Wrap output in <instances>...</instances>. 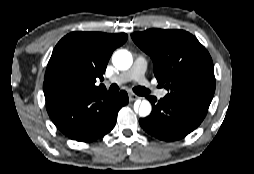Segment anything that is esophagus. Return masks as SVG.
<instances>
[{"mask_svg": "<svg viewBox=\"0 0 254 174\" xmlns=\"http://www.w3.org/2000/svg\"><path fill=\"white\" fill-rule=\"evenodd\" d=\"M138 98H139V96H137V95H135L133 93H129V101H134V100H136Z\"/></svg>", "mask_w": 254, "mask_h": 174, "instance_id": "obj_1", "label": "esophagus"}]
</instances>
